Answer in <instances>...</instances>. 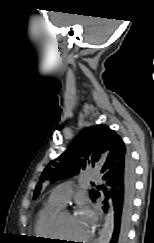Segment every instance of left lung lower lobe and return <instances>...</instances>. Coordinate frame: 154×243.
Instances as JSON below:
<instances>
[{"mask_svg":"<svg viewBox=\"0 0 154 243\" xmlns=\"http://www.w3.org/2000/svg\"><path fill=\"white\" fill-rule=\"evenodd\" d=\"M101 172L103 179L106 180V189L104 190L106 200L103 209L107 211V200L109 199L113 216V232L110 243H126L135 191L134 166L129 152H119L117 156L109 155ZM99 196L100 193L96 191L92 200L94 201Z\"/></svg>","mask_w":154,"mask_h":243,"instance_id":"left-lung-lower-lobe-1","label":"left lung lower lobe"}]
</instances>
